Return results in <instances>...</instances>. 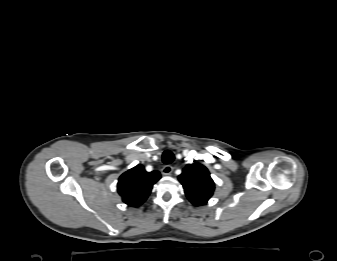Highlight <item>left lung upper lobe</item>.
I'll return each instance as SVG.
<instances>
[{"label":"left lung upper lobe","mask_w":337,"mask_h":261,"mask_svg":"<svg viewBox=\"0 0 337 261\" xmlns=\"http://www.w3.org/2000/svg\"><path fill=\"white\" fill-rule=\"evenodd\" d=\"M185 195L195 206L205 205L214 192V182L208 169L200 163L187 165L178 176Z\"/></svg>","instance_id":"obj_1"}]
</instances>
